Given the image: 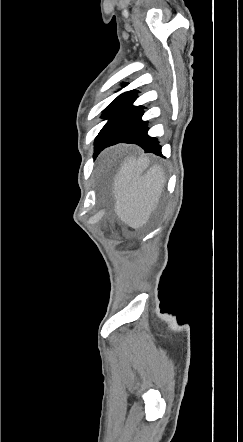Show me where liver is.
Returning a JSON list of instances; mask_svg holds the SVG:
<instances>
[{
  "instance_id": "6515ba94",
  "label": "liver",
  "mask_w": 243,
  "mask_h": 442,
  "mask_svg": "<svg viewBox=\"0 0 243 442\" xmlns=\"http://www.w3.org/2000/svg\"><path fill=\"white\" fill-rule=\"evenodd\" d=\"M149 156L127 157L113 182L114 211L119 219L133 229L144 226L157 208L164 192L166 178L160 166L143 173Z\"/></svg>"
}]
</instances>
